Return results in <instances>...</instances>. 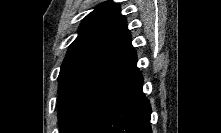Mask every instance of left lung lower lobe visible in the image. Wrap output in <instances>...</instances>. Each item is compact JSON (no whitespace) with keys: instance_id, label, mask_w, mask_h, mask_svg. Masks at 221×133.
<instances>
[{"instance_id":"0a47b994","label":"left lung lower lobe","mask_w":221,"mask_h":133,"mask_svg":"<svg viewBox=\"0 0 221 133\" xmlns=\"http://www.w3.org/2000/svg\"><path fill=\"white\" fill-rule=\"evenodd\" d=\"M132 50L93 80L74 101L59 133H151V107Z\"/></svg>"}]
</instances>
